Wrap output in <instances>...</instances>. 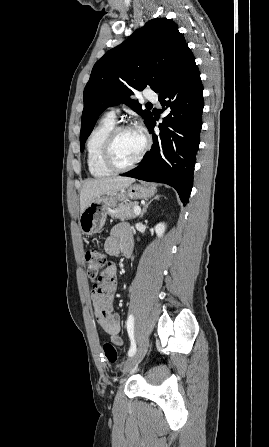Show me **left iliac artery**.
<instances>
[{"instance_id":"left-iliac-artery-1","label":"left iliac artery","mask_w":269,"mask_h":447,"mask_svg":"<svg viewBox=\"0 0 269 447\" xmlns=\"http://www.w3.org/2000/svg\"><path fill=\"white\" fill-rule=\"evenodd\" d=\"M127 331L131 340V347L128 351V356H133L136 352V343L134 340V316L131 314L127 319Z\"/></svg>"}]
</instances>
